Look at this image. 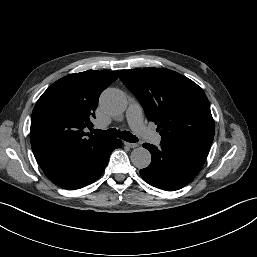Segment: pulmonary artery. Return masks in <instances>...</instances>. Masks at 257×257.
Instances as JSON below:
<instances>
[{
    "label": "pulmonary artery",
    "mask_w": 257,
    "mask_h": 257,
    "mask_svg": "<svg viewBox=\"0 0 257 257\" xmlns=\"http://www.w3.org/2000/svg\"><path fill=\"white\" fill-rule=\"evenodd\" d=\"M126 118L132 130L135 131L138 135L142 136L155 145L160 143V135L150 130L144 124L142 108L138 103L133 102L129 105L126 111Z\"/></svg>",
    "instance_id": "obj_1"
}]
</instances>
